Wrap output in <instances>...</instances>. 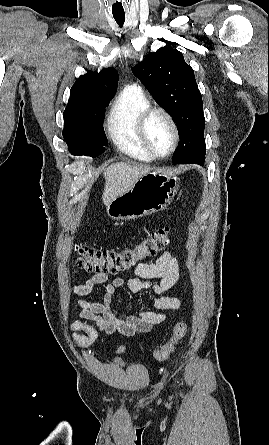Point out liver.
<instances>
[{
	"mask_svg": "<svg viewBox=\"0 0 269 445\" xmlns=\"http://www.w3.org/2000/svg\"><path fill=\"white\" fill-rule=\"evenodd\" d=\"M149 166L130 165L124 162H118L105 169L103 175L105 178V188L102 200L105 205L109 204L118 196L131 189L135 182L150 171Z\"/></svg>",
	"mask_w": 269,
	"mask_h": 445,
	"instance_id": "1",
	"label": "liver"
}]
</instances>
